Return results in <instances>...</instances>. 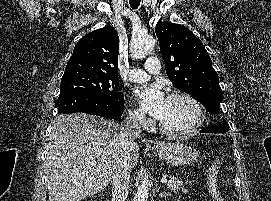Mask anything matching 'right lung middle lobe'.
<instances>
[{
    "mask_svg": "<svg viewBox=\"0 0 271 201\" xmlns=\"http://www.w3.org/2000/svg\"><path fill=\"white\" fill-rule=\"evenodd\" d=\"M118 75H109L85 70L65 71L61 79L60 95L84 94L100 98L121 95L118 90Z\"/></svg>",
    "mask_w": 271,
    "mask_h": 201,
    "instance_id": "1",
    "label": "right lung middle lobe"
}]
</instances>
